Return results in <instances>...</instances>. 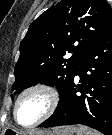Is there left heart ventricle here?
I'll list each match as a JSON object with an SVG mask.
<instances>
[{
	"label": "left heart ventricle",
	"mask_w": 112,
	"mask_h": 135,
	"mask_svg": "<svg viewBox=\"0 0 112 135\" xmlns=\"http://www.w3.org/2000/svg\"><path fill=\"white\" fill-rule=\"evenodd\" d=\"M49 106V100L43 92H31L19 102L17 118L20 123L29 125L44 115Z\"/></svg>",
	"instance_id": "obj_1"
}]
</instances>
